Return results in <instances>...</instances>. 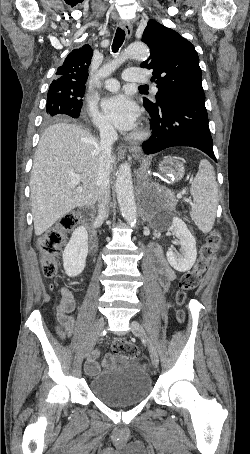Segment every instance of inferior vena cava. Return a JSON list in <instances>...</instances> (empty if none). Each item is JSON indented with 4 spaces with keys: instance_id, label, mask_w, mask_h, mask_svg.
<instances>
[{
    "instance_id": "1",
    "label": "inferior vena cava",
    "mask_w": 250,
    "mask_h": 454,
    "mask_svg": "<svg viewBox=\"0 0 250 454\" xmlns=\"http://www.w3.org/2000/svg\"><path fill=\"white\" fill-rule=\"evenodd\" d=\"M117 140V132L113 126L104 123L100 126V165L97 177L99 187L98 218L108 217L110 205V170L112 162V145Z\"/></svg>"
}]
</instances>
